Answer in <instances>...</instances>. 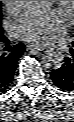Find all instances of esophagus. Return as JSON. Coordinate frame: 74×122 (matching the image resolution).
I'll return each mask as SVG.
<instances>
[{
  "label": "esophagus",
  "mask_w": 74,
  "mask_h": 122,
  "mask_svg": "<svg viewBox=\"0 0 74 122\" xmlns=\"http://www.w3.org/2000/svg\"><path fill=\"white\" fill-rule=\"evenodd\" d=\"M27 51H43L46 49L45 45H27L26 46Z\"/></svg>",
  "instance_id": "1"
}]
</instances>
